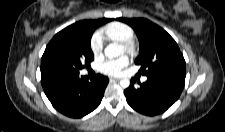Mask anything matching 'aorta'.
Here are the masks:
<instances>
[{"label":"aorta","mask_w":225,"mask_h":132,"mask_svg":"<svg viewBox=\"0 0 225 132\" xmlns=\"http://www.w3.org/2000/svg\"><path fill=\"white\" fill-rule=\"evenodd\" d=\"M104 52H105L106 57H108V58L119 57L123 53V47L119 44L112 43V44H109L105 48ZM129 85H130L129 79H121L120 80V86L122 88H128Z\"/></svg>","instance_id":"aorta-1"}]
</instances>
